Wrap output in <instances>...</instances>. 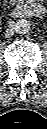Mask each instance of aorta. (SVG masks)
<instances>
[{"instance_id": "762f6f07", "label": "aorta", "mask_w": 47, "mask_h": 129, "mask_svg": "<svg viewBox=\"0 0 47 129\" xmlns=\"http://www.w3.org/2000/svg\"><path fill=\"white\" fill-rule=\"evenodd\" d=\"M30 29L31 25L27 20H19L15 26V31L21 35L27 34Z\"/></svg>"}]
</instances>
